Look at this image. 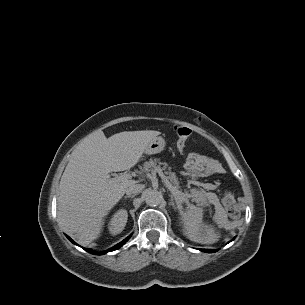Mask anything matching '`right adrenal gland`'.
<instances>
[{
    "instance_id": "obj_1",
    "label": "right adrenal gland",
    "mask_w": 305,
    "mask_h": 305,
    "mask_svg": "<svg viewBox=\"0 0 305 305\" xmlns=\"http://www.w3.org/2000/svg\"><path fill=\"white\" fill-rule=\"evenodd\" d=\"M135 197V195H128V196H125L124 198L127 199V198H133Z\"/></svg>"
}]
</instances>
